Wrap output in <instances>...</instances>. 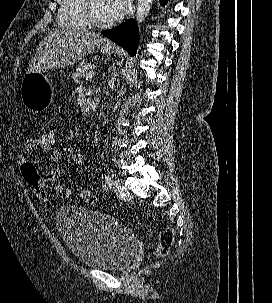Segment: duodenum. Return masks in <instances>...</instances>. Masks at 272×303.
Segmentation results:
<instances>
[{"label":"duodenum","mask_w":272,"mask_h":303,"mask_svg":"<svg viewBox=\"0 0 272 303\" xmlns=\"http://www.w3.org/2000/svg\"><path fill=\"white\" fill-rule=\"evenodd\" d=\"M100 100L98 98H94L86 104L85 111L89 114L94 112L99 106Z\"/></svg>","instance_id":"410a0bca"}]
</instances>
